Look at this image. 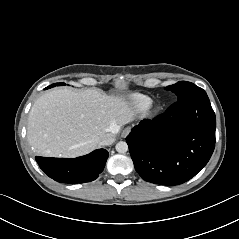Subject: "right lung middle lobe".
Returning a JSON list of instances; mask_svg holds the SVG:
<instances>
[{
	"label": "right lung middle lobe",
	"instance_id": "1",
	"mask_svg": "<svg viewBox=\"0 0 239 239\" xmlns=\"http://www.w3.org/2000/svg\"><path fill=\"white\" fill-rule=\"evenodd\" d=\"M59 85H64V83H55V84L50 85V86L47 87V88H51V87L59 86Z\"/></svg>",
	"mask_w": 239,
	"mask_h": 239
}]
</instances>
